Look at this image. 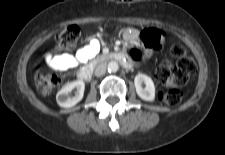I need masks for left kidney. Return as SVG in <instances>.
Masks as SVG:
<instances>
[{
  "label": "left kidney",
  "instance_id": "5707ae66",
  "mask_svg": "<svg viewBox=\"0 0 225 155\" xmlns=\"http://www.w3.org/2000/svg\"><path fill=\"white\" fill-rule=\"evenodd\" d=\"M145 84V88L142 87ZM134 84L138 96L145 101H154L155 86L152 79L145 74H138L134 79Z\"/></svg>",
  "mask_w": 225,
  "mask_h": 155
}]
</instances>
